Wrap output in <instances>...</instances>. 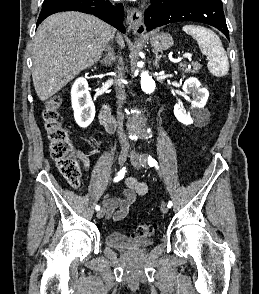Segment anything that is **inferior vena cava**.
<instances>
[{"label":"inferior vena cava","instance_id":"inferior-vena-cava-1","mask_svg":"<svg viewBox=\"0 0 259 294\" xmlns=\"http://www.w3.org/2000/svg\"><path fill=\"white\" fill-rule=\"evenodd\" d=\"M123 61L122 58H119V65H118V75L116 78V85H115V89H116V97H117V120L118 123L121 125L122 124V120H123V115H122V104L125 100V86L123 84ZM120 142L121 144H123L124 146H128V141L127 139L123 136V134L120 132Z\"/></svg>","mask_w":259,"mask_h":294}]
</instances>
